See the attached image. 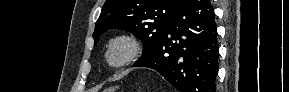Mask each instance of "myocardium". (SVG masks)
I'll return each mask as SVG.
<instances>
[{"instance_id":"f54148a6","label":"myocardium","mask_w":289,"mask_h":92,"mask_svg":"<svg viewBox=\"0 0 289 92\" xmlns=\"http://www.w3.org/2000/svg\"><path fill=\"white\" fill-rule=\"evenodd\" d=\"M120 47V54L116 49ZM143 46L134 34L122 32L112 36L106 43L103 58L107 66L118 70L133 64L142 54Z\"/></svg>"}]
</instances>
